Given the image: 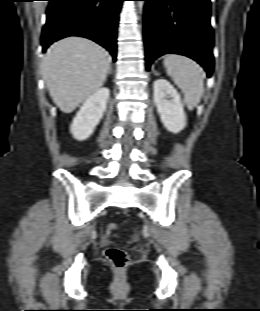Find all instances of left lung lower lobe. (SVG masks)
Here are the masks:
<instances>
[{
  "label": "left lung lower lobe",
  "mask_w": 260,
  "mask_h": 311,
  "mask_svg": "<svg viewBox=\"0 0 260 311\" xmlns=\"http://www.w3.org/2000/svg\"><path fill=\"white\" fill-rule=\"evenodd\" d=\"M146 69L164 54L190 57L212 75L213 32L210 0H142Z\"/></svg>",
  "instance_id": "obj_1"
}]
</instances>
